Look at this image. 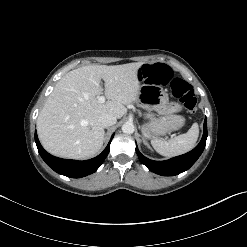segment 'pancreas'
Returning <instances> with one entry per match:
<instances>
[{"label": "pancreas", "instance_id": "1", "mask_svg": "<svg viewBox=\"0 0 247 247\" xmlns=\"http://www.w3.org/2000/svg\"><path fill=\"white\" fill-rule=\"evenodd\" d=\"M151 116V114H147V117H150Z\"/></svg>", "mask_w": 247, "mask_h": 247}]
</instances>
